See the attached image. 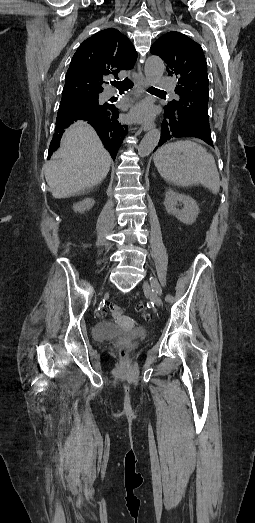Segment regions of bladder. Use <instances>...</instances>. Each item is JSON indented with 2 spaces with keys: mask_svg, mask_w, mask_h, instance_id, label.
Instances as JSON below:
<instances>
[{
  "mask_svg": "<svg viewBox=\"0 0 255 523\" xmlns=\"http://www.w3.org/2000/svg\"><path fill=\"white\" fill-rule=\"evenodd\" d=\"M96 326L97 330L93 333V337L100 341L110 337L115 333H123L127 337H146L148 335L147 327H142L135 330H126L117 326L115 323L108 321L104 323H97Z\"/></svg>",
  "mask_w": 255,
  "mask_h": 523,
  "instance_id": "31cf9c89",
  "label": "bladder"
}]
</instances>
